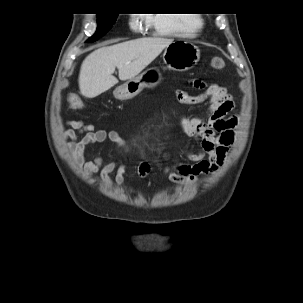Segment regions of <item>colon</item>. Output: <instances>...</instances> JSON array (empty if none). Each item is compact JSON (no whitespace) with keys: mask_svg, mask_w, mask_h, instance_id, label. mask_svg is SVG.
Segmentation results:
<instances>
[{"mask_svg":"<svg viewBox=\"0 0 303 303\" xmlns=\"http://www.w3.org/2000/svg\"><path fill=\"white\" fill-rule=\"evenodd\" d=\"M210 66L213 69H223L225 66V62L222 58L215 57L211 59ZM70 104L74 109H84V104L82 103L81 99L77 96H72L70 98Z\"/></svg>","mask_w":303,"mask_h":303,"instance_id":"5ec220e1","label":"colon"}]
</instances>
